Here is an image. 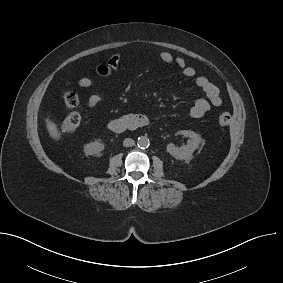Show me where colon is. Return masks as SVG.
Returning <instances> with one entry per match:
<instances>
[{
	"instance_id": "1",
	"label": "colon",
	"mask_w": 283,
	"mask_h": 283,
	"mask_svg": "<svg viewBox=\"0 0 283 283\" xmlns=\"http://www.w3.org/2000/svg\"><path fill=\"white\" fill-rule=\"evenodd\" d=\"M64 104L69 109V113L61 123V129L66 133L74 132L82 122L81 114L76 110L78 99L74 93L68 92L64 95ZM218 122L221 127H228L231 123V115L227 111L220 113Z\"/></svg>"
}]
</instances>
